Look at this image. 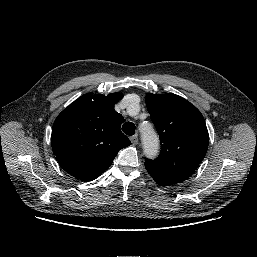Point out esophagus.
<instances>
[{"instance_id": "34e87169", "label": "esophagus", "mask_w": 257, "mask_h": 257, "mask_svg": "<svg viewBox=\"0 0 257 257\" xmlns=\"http://www.w3.org/2000/svg\"><path fill=\"white\" fill-rule=\"evenodd\" d=\"M130 140H131V143H132L133 145L138 144V136H137V135L131 136V137H130Z\"/></svg>"}]
</instances>
